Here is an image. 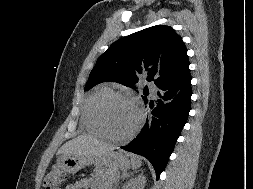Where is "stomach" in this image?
<instances>
[{"label":"stomach","instance_id":"obj_1","mask_svg":"<svg viewBox=\"0 0 253 189\" xmlns=\"http://www.w3.org/2000/svg\"><path fill=\"white\" fill-rule=\"evenodd\" d=\"M57 164L63 171L73 174L92 164L105 166L113 170H126L130 167V161L121 152L109 151L99 157L85 155H61Z\"/></svg>","mask_w":253,"mask_h":189}]
</instances>
